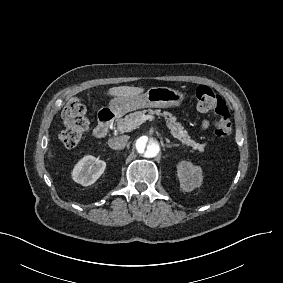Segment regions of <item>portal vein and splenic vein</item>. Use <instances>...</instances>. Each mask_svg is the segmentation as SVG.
<instances>
[{
  "mask_svg": "<svg viewBox=\"0 0 283 283\" xmlns=\"http://www.w3.org/2000/svg\"><path fill=\"white\" fill-rule=\"evenodd\" d=\"M155 116L152 115H143L142 116V121L140 123H143L145 120H154Z\"/></svg>",
  "mask_w": 283,
  "mask_h": 283,
  "instance_id": "1",
  "label": "portal vein and splenic vein"
}]
</instances>
